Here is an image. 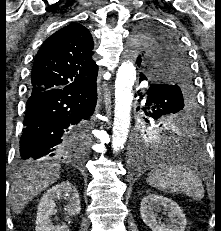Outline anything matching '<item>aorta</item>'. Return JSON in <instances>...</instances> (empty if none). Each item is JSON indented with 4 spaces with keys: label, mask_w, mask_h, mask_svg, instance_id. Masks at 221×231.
Listing matches in <instances>:
<instances>
[{
    "label": "aorta",
    "mask_w": 221,
    "mask_h": 231,
    "mask_svg": "<svg viewBox=\"0 0 221 231\" xmlns=\"http://www.w3.org/2000/svg\"><path fill=\"white\" fill-rule=\"evenodd\" d=\"M135 80V66L130 61H124L118 68L115 81V114L111 144L114 153L123 148L128 137Z\"/></svg>",
    "instance_id": "aorta-1"
}]
</instances>
